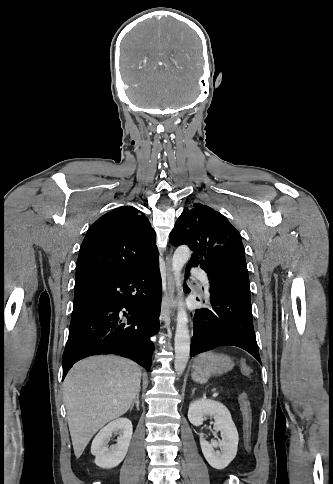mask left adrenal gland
Here are the masks:
<instances>
[{
	"label": "left adrenal gland",
	"instance_id": "a2214340",
	"mask_svg": "<svg viewBox=\"0 0 333 484\" xmlns=\"http://www.w3.org/2000/svg\"><path fill=\"white\" fill-rule=\"evenodd\" d=\"M194 392H195V389L192 390V394H194Z\"/></svg>",
	"mask_w": 333,
	"mask_h": 484
}]
</instances>
